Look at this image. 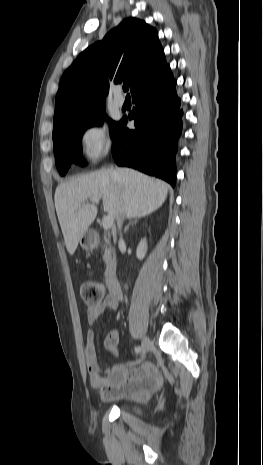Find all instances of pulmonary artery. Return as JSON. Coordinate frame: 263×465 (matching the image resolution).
Segmentation results:
<instances>
[{"label":"pulmonary artery","instance_id":"pulmonary-artery-1","mask_svg":"<svg viewBox=\"0 0 263 465\" xmlns=\"http://www.w3.org/2000/svg\"><path fill=\"white\" fill-rule=\"evenodd\" d=\"M113 102L117 107H122L124 105L125 100L120 94V89L116 91Z\"/></svg>","mask_w":263,"mask_h":465}]
</instances>
